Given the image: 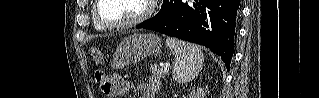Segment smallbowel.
Instances as JSON below:
<instances>
[{
  "label": "small bowel",
  "mask_w": 319,
  "mask_h": 98,
  "mask_svg": "<svg viewBox=\"0 0 319 98\" xmlns=\"http://www.w3.org/2000/svg\"><path fill=\"white\" fill-rule=\"evenodd\" d=\"M120 93H126L130 89V84L123 79H118ZM159 88V82L156 78H152L149 84H142L137 87L138 98H154L155 92Z\"/></svg>",
  "instance_id": "obj_1"
}]
</instances>
